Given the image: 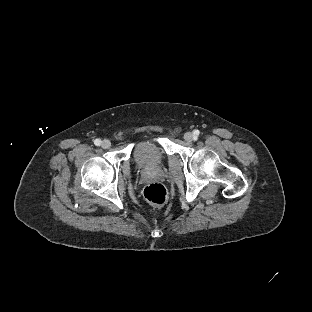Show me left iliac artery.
I'll list each match as a JSON object with an SVG mask.
<instances>
[{
    "mask_svg": "<svg viewBox=\"0 0 312 312\" xmlns=\"http://www.w3.org/2000/svg\"><path fill=\"white\" fill-rule=\"evenodd\" d=\"M199 133H200L199 130H194V135H195V136H198Z\"/></svg>",
    "mask_w": 312,
    "mask_h": 312,
    "instance_id": "44dca946",
    "label": "left iliac artery"
}]
</instances>
